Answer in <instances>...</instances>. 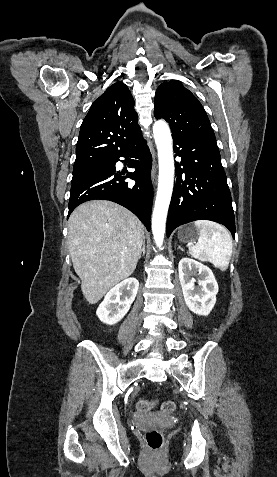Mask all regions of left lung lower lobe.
<instances>
[{
    "mask_svg": "<svg viewBox=\"0 0 277 477\" xmlns=\"http://www.w3.org/2000/svg\"><path fill=\"white\" fill-rule=\"evenodd\" d=\"M173 141L181 162L176 164L167 237L182 224L205 219L223 224L235 238L232 199L216 138L173 135Z\"/></svg>",
    "mask_w": 277,
    "mask_h": 477,
    "instance_id": "left-lung-lower-lobe-1",
    "label": "left lung lower lobe"
}]
</instances>
